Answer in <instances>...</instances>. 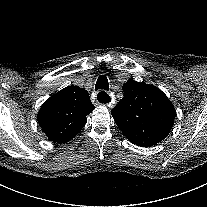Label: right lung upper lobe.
<instances>
[{"instance_id":"cb5924a9","label":"right lung upper lobe","mask_w":207,"mask_h":207,"mask_svg":"<svg viewBox=\"0 0 207 207\" xmlns=\"http://www.w3.org/2000/svg\"><path fill=\"white\" fill-rule=\"evenodd\" d=\"M94 108L85 89L68 86L43 103L37 119L49 140L65 143L84 127Z\"/></svg>"}]
</instances>
